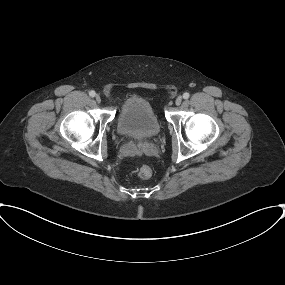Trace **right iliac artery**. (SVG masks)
I'll list each match as a JSON object with an SVG mask.
<instances>
[{"instance_id": "1", "label": "right iliac artery", "mask_w": 285, "mask_h": 285, "mask_svg": "<svg viewBox=\"0 0 285 285\" xmlns=\"http://www.w3.org/2000/svg\"><path fill=\"white\" fill-rule=\"evenodd\" d=\"M89 95H90L91 97H94V96L96 95V93H95V91L91 90V91L89 92Z\"/></svg>"}]
</instances>
